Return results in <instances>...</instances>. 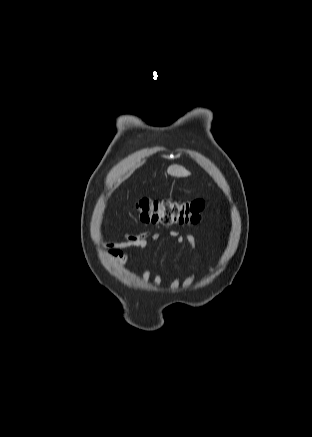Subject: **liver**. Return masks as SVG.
Returning <instances> with one entry per match:
<instances>
[{
    "label": "liver",
    "instance_id": "1",
    "mask_svg": "<svg viewBox=\"0 0 312 437\" xmlns=\"http://www.w3.org/2000/svg\"><path fill=\"white\" fill-rule=\"evenodd\" d=\"M168 174L177 177H186L190 175V172L187 171L184 167L179 165H171L167 170Z\"/></svg>",
    "mask_w": 312,
    "mask_h": 437
}]
</instances>
